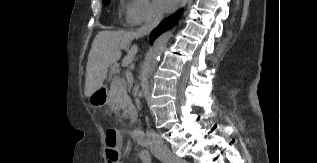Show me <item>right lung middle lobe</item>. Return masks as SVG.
Listing matches in <instances>:
<instances>
[{"mask_svg":"<svg viewBox=\"0 0 317 163\" xmlns=\"http://www.w3.org/2000/svg\"><path fill=\"white\" fill-rule=\"evenodd\" d=\"M109 2H110V0H103V3H104L105 5H107Z\"/></svg>","mask_w":317,"mask_h":163,"instance_id":"dd1d6c3e","label":"right lung middle lobe"}]
</instances>
